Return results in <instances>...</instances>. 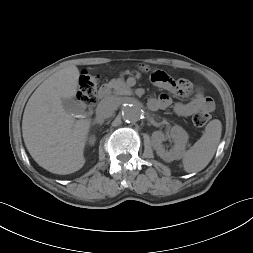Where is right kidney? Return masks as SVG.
<instances>
[{"label": "right kidney", "mask_w": 253, "mask_h": 253, "mask_svg": "<svg viewBox=\"0 0 253 253\" xmlns=\"http://www.w3.org/2000/svg\"><path fill=\"white\" fill-rule=\"evenodd\" d=\"M95 137L94 136H91L90 138H89V144L90 145H94V143H95Z\"/></svg>", "instance_id": "right-kidney-1"}]
</instances>
